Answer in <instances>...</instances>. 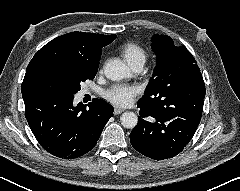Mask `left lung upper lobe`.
Listing matches in <instances>:
<instances>
[{"mask_svg": "<svg viewBox=\"0 0 240 191\" xmlns=\"http://www.w3.org/2000/svg\"><path fill=\"white\" fill-rule=\"evenodd\" d=\"M151 48L157 61L141 101L149 103L178 95L193 78L202 77L192 54L185 46H175L170 37L154 35Z\"/></svg>", "mask_w": 240, "mask_h": 191, "instance_id": "left-lung-upper-lobe-1", "label": "left lung upper lobe"}]
</instances>
